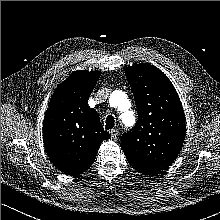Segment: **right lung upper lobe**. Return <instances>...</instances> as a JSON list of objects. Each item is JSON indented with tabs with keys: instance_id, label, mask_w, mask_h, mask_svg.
Here are the masks:
<instances>
[{
	"instance_id": "1",
	"label": "right lung upper lobe",
	"mask_w": 220,
	"mask_h": 220,
	"mask_svg": "<svg viewBox=\"0 0 220 220\" xmlns=\"http://www.w3.org/2000/svg\"><path fill=\"white\" fill-rule=\"evenodd\" d=\"M100 77L98 71H75L55 89L43 122V141L52 163L76 176L93 164L104 131L88 99Z\"/></svg>"
}]
</instances>
